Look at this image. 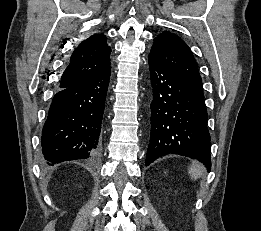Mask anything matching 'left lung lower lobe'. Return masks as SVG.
<instances>
[{
    "instance_id": "left-lung-lower-lobe-1",
    "label": "left lung lower lobe",
    "mask_w": 261,
    "mask_h": 231,
    "mask_svg": "<svg viewBox=\"0 0 261 231\" xmlns=\"http://www.w3.org/2000/svg\"><path fill=\"white\" fill-rule=\"evenodd\" d=\"M153 99L146 165L178 154L211 168L210 135L204 95L191 88L153 58H148Z\"/></svg>"
}]
</instances>
